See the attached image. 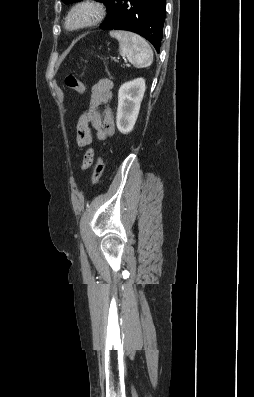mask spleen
I'll list each match as a JSON object with an SVG mask.
<instances>
[{
	"mask_svg": "<svg viewBox=\"0 0 254 397\" xmlns=\"http://www.w3.org/2000/svg\"><path fill=\"white\" fill-rule=\"evenodd\" d=\"M109 34L119 42L120 55L126 57L135 67L142 68L152 64L153 51L143 37L122 30H113Z\"/></svg>",
	"mask_w": 254,
	"mask_h": 397,
	"instance_id": "3e777b00",
	"label": "spleen"
}]
</instances>
